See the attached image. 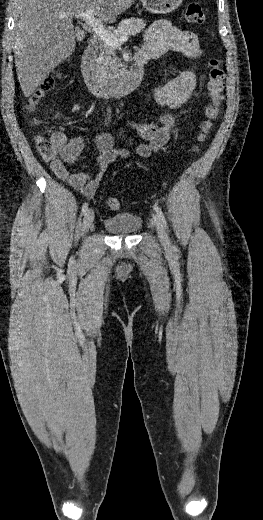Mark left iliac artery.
Here are the masks:
<instances>
[{"mask_svg":"<svg viewBox=\"0 0 263 520\" xmlns=\"http://www.w3.org/2000/svg\"><path fill=\"white\" fill-rule=\"evenodd\" d=\"M154 209H155V211L157 212V215H158L159 219L162 221L163 225H164L165 228L167 229V228H168V227H167V221H166V219H165V216H164V214H163L161 208H160L159 206L155 205Z\"/></svg>","mask_w":263,"mask_h":520,"instance_id":"44dca946","label":"left iliac artery"}]
</instances>
